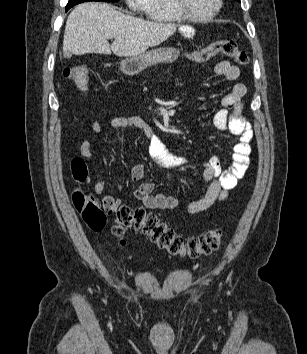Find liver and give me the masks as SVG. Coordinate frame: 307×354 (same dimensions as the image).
Returning a JSON list of instances; mask_svg holds the SVG:
<instances>
[{"instance_id":"1","label":"liver","mask_w":307,"mask_h":354,"mask_svg":"<svg viewBox=\"0 0 307 354\" xmlns=\"http://www.w3.org/2000/svg\"><path fill=\"white\" fill-rule=\"evenodd\" d=\"M177 27L174 23L150 22L123 14L106 3H82L67 18L63 53L68 56L113 52L119 57H132L161 44ZM111 38L115 41L110 45Z\"/></svg>"}]
</instances>
